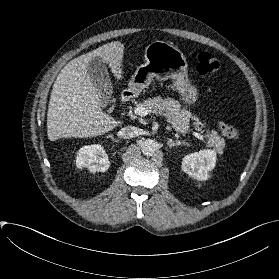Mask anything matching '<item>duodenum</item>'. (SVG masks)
<instances>
[{
  "mask_svg": "<svg viewBox=\"0 0 279 279\" xmlns=\"http://www.w3.org/2000/svg\"><path fill=\"white\" fill-rule=\"evenodd\" d=\"M130 98V94L128 92L123 93L122 97H121V102L125 103L126 101H128Z\"/></svg>",
  "mask_w": 279,
  "mask_h": 279,
  "instance_id": "410a0bca",
  "label": "duodenum"
}]
</instances>
